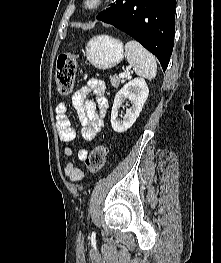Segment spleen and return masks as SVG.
<instances>
[{
    "label": "spleen",
    "mask_w": 221,
    "mask_h": 263,
    "mask_svg": "<svg viewBox=\"0 0 221 263\" xmlns=\"http://www.w3.org/2000/svg\"><path fill=\"white\" fill-rule=\"evenodd\" d=\"M125 54L128 63L133 66L135 73L148 80L155 78L157 64L155 57L135 40L128 41L125 45Z\"/></svg>",
    "instance_id": "1"
}]
</instances>
